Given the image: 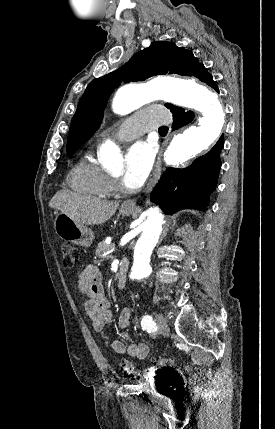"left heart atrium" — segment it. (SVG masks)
Listing matches in <instances>:
<instances>
[{"label":"left heart atrium","instance_id":"1","mask_svg":"<svg viewBox=\"0 0 275 429\" xmlns=\"http://www.w3.org/2000/svg\"><path fill=\"white\" fill-rule=\"evenodd\" d=\"M154 146L145 141L134 143L127 152L123 183L127 188H139L146 180L154 160Z\"/></svg>","mask_w":275,"mask_h":429}]
</instances>
